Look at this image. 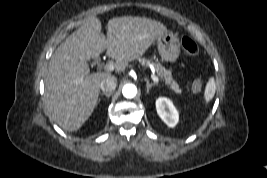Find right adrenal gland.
Segmentation results:
<instances>
[{"label": "right adrenal gland", "instance_id": "1", "mask_svg": "<svg viewBox=\"0 0 267 178\" xmlns=\"http://www.w3.org/2000/svg\"><path fill=\"white\" fill-rule=\"evenodd\" d=\"M101 95H105L109 98L112 95V93H102Z\"/></svg>", "mask_w": 267, "mask_h": 178}]
</instances>
